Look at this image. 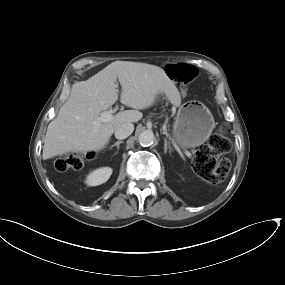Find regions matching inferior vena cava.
Returning <instances> with one entry per match:
<instances>
[{"label":"inferior vena cava","instance_id":"obj_1","mask_svg":"<svg viewBox=\"0 0 285 285\" xmlns=\"http://www.w3.org/2000/svg\"><path fill=\"white\" fill-rule=\"evenodd\" d=\"M133 130L134 125L132 123H122L115 128L114 135L117 139H125L131 135Z\"/></svg>","mask_w":285,"mask_h":285}]
</instances>
